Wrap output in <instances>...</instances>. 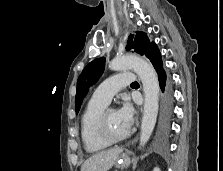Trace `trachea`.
Masks as SVG:
<instances>
[{
  "mask_svg": "<svg viewBox=\"0 0 223 171\" xmlns=\"http://www.w3.org/2000/svg\"><path fill=\"white\" fill-rule=\"evenodd\" d=\"M134 84H138V83L137 82H133L132 85H134Z\"/></svg>",
  "mask_w": 223,
  "mask_h": 171,
  "instance_id": "obj_1",
  "label": "trachea"
}]
</instances>
